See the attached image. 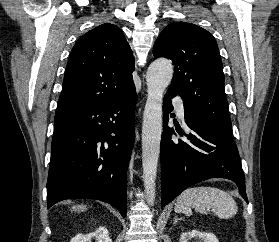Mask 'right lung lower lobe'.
I'll return each mask as SVG.
<instances>
[{
  "instance_id": "obj_1",
  "label": "right lung lower lobe",
  "mask_w": 279,
  "mask_h": 242,
  "mask_svg": "<svg viewBox=\"0 0 279 242\" xmlns=\"http://www.w3.org/2000/svg\"><path fill=\"white\" fill-rule=\"evenodd\" d=\"M135 90L108 104L55 115L47 205L90 198L126 215L127 167L135 138Z\"/></svg>"
}]
</instances>
